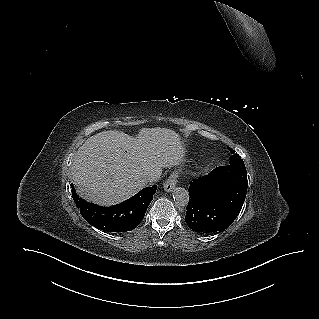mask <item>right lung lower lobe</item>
Returning a JSON list of instances; mask_svg holds the SVG:
<instances>
[{
    "label": "right lung lower lobe",
    "mask_w": 319,
    "mask_h": 319,
    "mask_svg": "<svg viewBox=\"0 0 319 319\" xmlns=\"http://www.w3.org/2000/svg\"><path fill=\"white\" fill-rule=\"evenodd\" d=\"M156 188V185L146 187L132 198L110 207L88 203L79 198L74 189L72 197L83 218L92 226L108 232H126L143 220Z\"/></svg>",
    "instance_id": "obj_1"
}]
</instances>
